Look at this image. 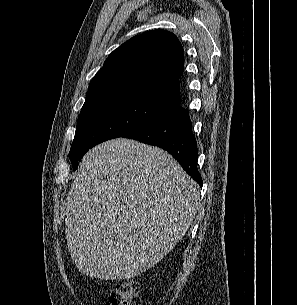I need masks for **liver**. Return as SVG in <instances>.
<instances>
[{"label":"liver","instance_id":"6515ba94","mask_svg":"<svg viewBox=\"0 0 297 305\" xmlns=\"http://www.w3.org/2000/svg\"><path fill=\"white\" fill-rule=\"evenodd\" d=\"M199 208L197 183L170 154L109 140L84 156L68 193V250L86 276L134 278L173 249Z\"/></svg>","mask_w":297,"mask_h":305}]
</instances>
